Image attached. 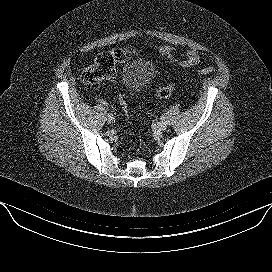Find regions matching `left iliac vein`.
Returning a JSON list of instances; mask_svg holds the SVG:
<instances>
[{
  "label": "left iliac vein",
  "instance_id": "4c4485c4",
  "mask_svg": "<svg viewBox=\"0 0 272 272\" xmlns=\"http://www.w3.org/2000/svg\"><path fill=\"white\" fill-rule=\"evenodd\" d=\"M157 127L161 131H165L167 129V123L166 122H158Z\"/></svg>",
  "mask_w": 272,
  "mask_h": 272
}]
</instances>
